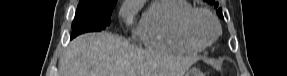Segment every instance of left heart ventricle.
I'll use <instances>...</instances> for the list:
<instances>
[{
  "mask_svg": "<svg viewBox=\"0 0 287 76\" xmlns=\"http://www.w3.org/2000/svg\"><path fill=\"white\" fill-rule=\"evenodd\" d=\"M194 31L202 40H209L215 33V27L205 15H198L194 22Z\"/></svg>",
  "mask_w": 287,
  "mask_h": 76,
  "instance_id": "b2bd125f",
  "label": "left heart ventricle"
}]
</instances>
